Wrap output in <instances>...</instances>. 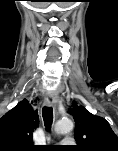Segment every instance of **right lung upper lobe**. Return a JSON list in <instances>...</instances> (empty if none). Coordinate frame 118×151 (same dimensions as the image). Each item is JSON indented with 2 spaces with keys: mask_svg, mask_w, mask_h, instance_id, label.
<instances>
[{
  "mask_svg": "<svg viewBox=\"0 0 118 151\" xmlns=\"http://www.w3.org/2000/svg\"><path fill=\"white\" fill-rule=\"evenodd\" d=\"M37 110L23 99L0 119V151H31L32 132L38 126Z\"/></svg>",
  "mask_w": 118,
  "mask_h": 151,
  "instance_id": "right-lung-upper-lobe-1",
  "label": "right lung upper lobe"
}]
</instances>
